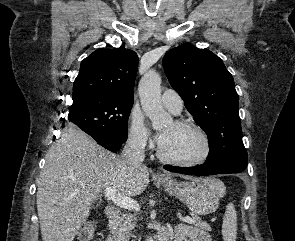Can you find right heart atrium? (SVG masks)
Here are the masks:
<instances>
[{
	"mask_svg": "<svg viewBox=\"0 0 295 241\" xmlns=\"http://www.w3.org/2000/svg\"><path fill=\"white\" fill-rule=\"evenodd\" d=\"M128 142L140 151L147 150L152 143L143 117L135 112L131 114L129 119Z\"/></svg>",
	"mask_w": 295,
	"mask_h": 241,
	"instance_id": "obj_1",
	"label": "right heart atrium"
}]
</instances>
